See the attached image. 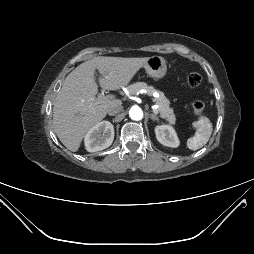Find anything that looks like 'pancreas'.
Returning a JSON list of instances; mask_svg holds the SVG:
<instances>
[{"mask_svg":"<svg viewBox=\"0 0 254 254\" xmlns=\"http://www.w3.org/2000/svg\"><path fill=\"white\" fill-rule=\"evenodd\" d=\"M128 92L130 94H135L141 89H144L147 91L148 95H153L154 93H158V97L154 98L153 100L158 105L157 111L160 114V117L163 119H166L169 123L174 124L175 123V115L173 108L170 107L169 100L164 96V94L158 90H156L152 86H148L144 82H136L134 84H131L127 87Z\"/></svg>","mask_w":254,"mask_h":254,"instance_id":"obj_1","label":"pancreas"}]
</instances>
